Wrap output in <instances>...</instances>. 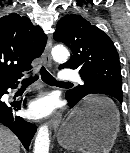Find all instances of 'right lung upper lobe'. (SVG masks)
Here are the masks:
<instances>
[{
    "label": "right lung upper lobe",
    "instance_id": "right-lung-upper-lobe-1",
    "mask_svg": "<svg viewBox=\"0 0 130 153\" xmlns=\"http://www.w3.org/2000/svg\"><path fill=\"white\" fill-rule=\"evenodd\" d=\"M46 41L42 29L28 17L11 13L0 18V86L17 83L22 72L31 70Z\"/></svg>",
    "mask_w": 130,
    "mask_h": 153
}]
</instances>
